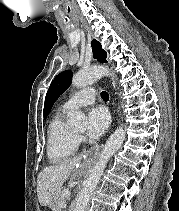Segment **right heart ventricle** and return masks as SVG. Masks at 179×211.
Masks as SVG:
<instances>
[{
    "label": "right heart ventricle",
    "instance_id": "1",
    "mask_svg": "<svg viewBox=\"0 0 179 211\" xmlns=\"http://www.w3.org/2000/svg\"><path fill=\"white\" fill-rule=\"evenodd\" d=\"M69 111L62 108L51 119L47 130V156L53 164H60L73 157L78 139L66 121Z\"/></svg>",
    "mask_w": 179,
    "mask_h": 211
}]
</instances>
